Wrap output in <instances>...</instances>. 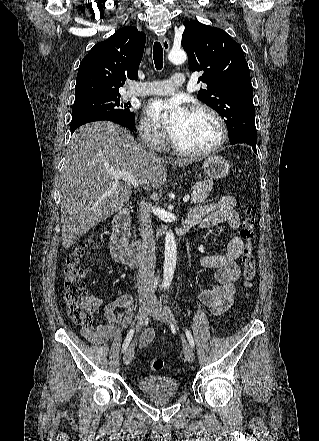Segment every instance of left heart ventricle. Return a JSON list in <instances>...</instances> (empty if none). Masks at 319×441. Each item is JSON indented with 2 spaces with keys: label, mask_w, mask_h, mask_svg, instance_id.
I'll return each instance as SVG.
<instances>
[{
  "label": "left heart ventricle",
  "mask_w": 319,
  "mask_h": 441,
  "mask_svg": "<svg viewBox=\"0 0 319 441\" xmlns=\"http://www.w3.org/2000/svg\"><path fill=\"white\" fill-rule=\"evenodd\" d=\"M219 137L215 120L205 112H188L173 139L185 149L201 150L212 146Z\"/></svg>",
  "instance_id": "left-heart-ventricle-1"
}]
</instances>
